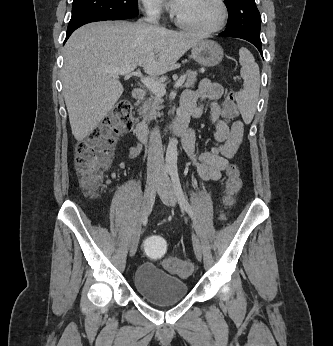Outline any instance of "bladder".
Wrapping results in <instances>:
<instances>
[{
    "label": "bladder",
    "mask_w": 333,
    "mask_h": 346,
    "mask_svg": "<svg viewBox=\"0 0 333 346\" xmlns=\"http://www.w3.org/2000/svg\"><path fill=\"white\" fill-rule=\"evenodd\" d=\"M133 285L146 300L159 305L172 304L184 299L188 284L152 263L141 264L133 277Z\"/></svg>",
    "instance_id": "bladder-1"
}]
</instances>
